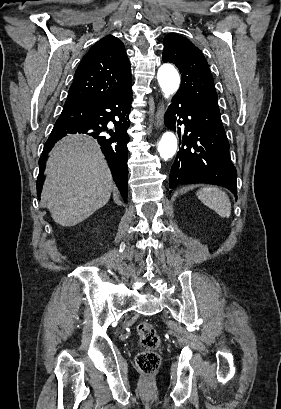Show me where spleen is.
I'll use <instances>...</instances> for the list:
<instances>
[{
	"label": "spleen",
	"instance_id": "spleen-1",
	"mask_svg": "<svg viewBox=\"0 0 281 409\" xmlns=\"http://www.w3.org/2000/svg\"><path fill=\"white\" fill-rule=\"evenodd\" d=\"M199 200L204 202L209 209L215 211L220 217H227L231 215V202L228 194L216 186H207V188H200L196 192Z\"/></svg>",
	"mask_w": 281,
	"mask_h": 409
}]
</instances>
